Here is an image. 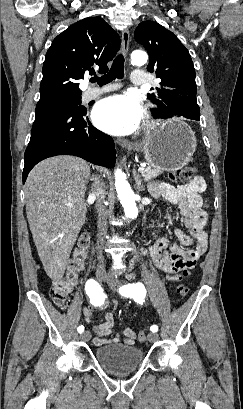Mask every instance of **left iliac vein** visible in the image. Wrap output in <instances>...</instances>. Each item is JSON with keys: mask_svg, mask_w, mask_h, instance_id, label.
Returning <instances> with one entry per match:
<instances>
[{"mask_svg": "<svg viewBox=\"0 0 243 409\" xmlns=\"http://www.w3.org/2000/svg\"><path fill=\"white\" fill-rule=\"evenodd\" d=\"M106 281H107L108 286L114 291H117L118 288L121 286L120 281L114 276L109 275L107 277ZM157 340H158V334L157 333L151 332V333L148 334V341L149 342L154 343Z\"/></svg>", "mask_w": 243, "mask_h": 409, "instance_id": "4c4485c4", "label": "left iliac vein"}]
</instances>
